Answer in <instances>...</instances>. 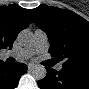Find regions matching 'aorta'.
<instances>
[{
  "label": "aorta",
  "mask_w": 89,
  "mask_h": 89,
  "mask_svg": "<svg viewBox=\"0 0 89 89\" xmlns=\"http://www.w3.org/2000/svg\"><path fill=\"white\" fill-rule=\"evenodd\" d=\"M18 40L24 47H32L35 44L34 34L29 30H23L18 35ZM47 74V71L44 66L39 65L32 71V75L36 80L43 79Z\"/></svg>",
  "instance_id": "1"
}]
</instances>
